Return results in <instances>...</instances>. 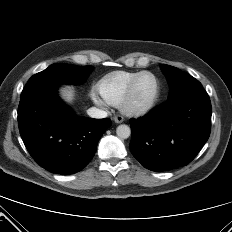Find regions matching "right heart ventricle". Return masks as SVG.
Wrapping results in <instances>:
<instances>
[{"label": "right heart ventricle", "mask_w": 232, "mask_h": 232, "mask_svg": "<svg viewBox=\"0 0 232 232\" xmlns=\"http://www.w3.org/2000/svg\"><path fill=\"white\" fill-rule=\"evenodd\" d=\"M139 73L129 71L108 73L98 82V92L107 104L119 106L130 83Z\"/></svg>", "instance_id": "1"}]
</instances>
